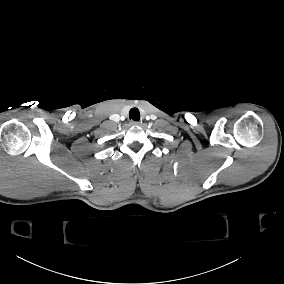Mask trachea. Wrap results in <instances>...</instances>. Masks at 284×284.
<instances>
[{"mask_svg":"<svg viewBox=\"0 0 284 284\" xmlns=\"http://www.w3.org/2000/svg\"><path fill=\"white\" fill-rule=\"evenodd\" d=\"M129 118L133 119L134 121H139L140 119V112L137 108H132L129 112Z\"/></svg>","mask_w":284,"mask_h":284,"instance_id":"3493384b","label":"trachea"}]
</instances>
